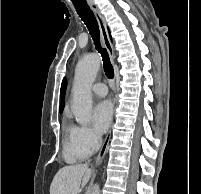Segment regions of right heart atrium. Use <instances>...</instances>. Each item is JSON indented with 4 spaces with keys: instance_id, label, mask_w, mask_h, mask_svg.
Instances as JSON below:
<instances>
[{
    "instance_id": "1",
    "label": "right heart atrium",
    "mask_w": 201,
    "mask_h": 194,
    "mask_svg": "<svg viewBox=\"0 0 201 194\" xmlns=\"http://www.w3.org/2000/svg\"><path fill=\"white\" fill-rule=\"evenodd\" d=\"M101 144L100 135L91 127L74 125L70 131V148L73 152L87 157L94 153Z\"/></svg>"
}]
</instances>
